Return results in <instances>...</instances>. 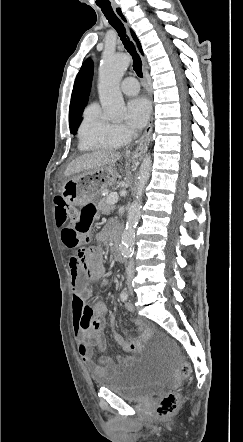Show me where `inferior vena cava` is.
Here are the masks:
<instances>
[{
  "instance_id": "inferior-vena-cava-1",
  "label": "inferior vena cava",
  "mask_w": 243,
  "mask_h": 442,
  "mask_svg": "<svg viewBox=\"0 0 243 442\" xmlns=\"http://www.w3.org/2000/svg\"><path fill=\"white\" fill-rule=\"evenodd\" d=\"M126 272H127V278H128V279H132V278H133V275H134V272H135V263H134V259H131V260L129 261L128 266H127V269H126Z\"/></svg>"
}]
</instances>
